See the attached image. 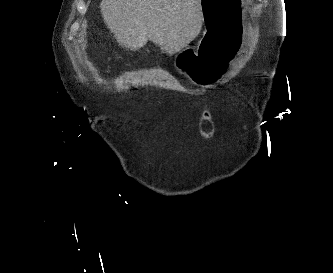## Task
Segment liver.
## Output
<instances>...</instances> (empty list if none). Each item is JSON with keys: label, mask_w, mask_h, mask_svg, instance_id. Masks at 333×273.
I'll return each instance as SVG.
<instances>
[{"label": "liver", "mask_w": 333, "mask_h": 273, "mask_svg": "<svg viewBox=\"0 0 333 273\" xmlns=\"http://www.w3.org/2000/svg\"><path fill=\"white\" fill-rule=\"evenodd\" d=\"M202 0H102L101 14L120 46L142 48L148 40L170 56L201 31Z\"/></svg>", "instance_id": "obj_1"}]
</instances>
